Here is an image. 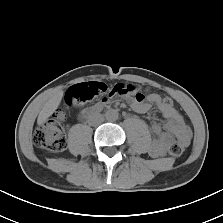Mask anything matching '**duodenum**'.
I'll list each match as a JSON object with an SVG mask.
<instances>
[{
    "label": "duodenum",
    "instance_id": "duodenum-1",
    "mask_svg": "<svg viewBox=\"0 0 223 223\" xmlns=\"http://www.w3.org/2000/svg\"><path fill=\"white\" fill-rule=\"evenodd\" d=\"M97 108H91V109H88V110H86L85 112H84V116H88V115H90V114H93V113H95V112H97Z\"/></svg>",
    "mask_w": 223,
    "mask_h": 223
}]
</instances>
